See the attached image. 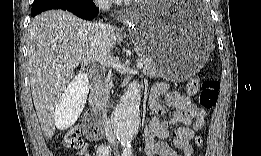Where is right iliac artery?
<instances>
[{"mask_svg":"<svg viewBox=\"0 0 261 156\" xmlns=\"http://www.w3.org/2000/svg\"><path fill=\"white\" fill-rule=\"evenodd\" d=\"M111 148L108 145H101L97 149V155L99 156H108L110 155Z\"/></svg>","mask_w":261,"mask_h":156,"instance_id":"right-iliac-artery-1","label":"right iliac artery"}]
</instances>
